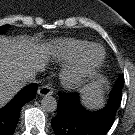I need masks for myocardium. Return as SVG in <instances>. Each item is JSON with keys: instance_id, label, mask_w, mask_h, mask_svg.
<instances>
[{"instance_id": "f54148a6", "label": "myocardium", "mask_w": 135, "mask_h": 135, "mask_svg": "<svg viewBox=\"0 0 135 135\" xmlns=\"http://www.w3.org/2000/svg\"><path fill=\"white\" fill-rule=\"evenodd\" d=\"M94 49L100 50V56L96 59L92 56ZM104 59L105 50L101 45H89L81 54L78 61L63 71L61 75L63 84L68 88H76L80 86L100 68Z\"/></svg>"}]
</instances>
